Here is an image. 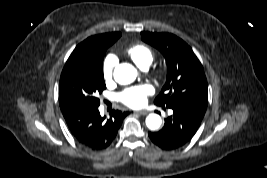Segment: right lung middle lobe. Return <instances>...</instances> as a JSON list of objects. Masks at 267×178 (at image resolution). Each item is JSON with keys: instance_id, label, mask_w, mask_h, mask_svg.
Returning a JSON list of instances; mask_svg holds the SVG:
<instances>
[{"instance_id": "obj_1", "label": "right lung middle lobe", "mask_w": 267, "mask_h": 178, "mask_svg": "<svg viewBox=\"0 0 267 178\" xmlns=\"http://www.w3.org/2000/svg\"><path fill=\"white\" fill-rule=\"evenodd\" d=\"M114 42L115 40H106L96 47L89 45L82 53L67 60L59 83L61 109L72 104L100 105L97 94L106 88L102 70L103 57Z\"/></svg>"}]
</instances>
